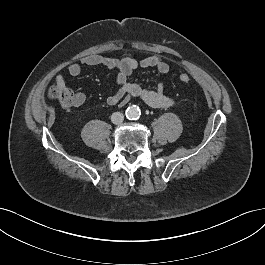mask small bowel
Listing matches in <instances>:
<instances>
[{
  "instance_id": "small-bowel-1",
  "label": "small bowel",
  "mask_w": 265,
  "mask_h": 265,
  "mask_svg": "<svg viewBox=\"0 0 265 265\" xmlns=\"http://www.w3.org/2000/svg\"><path fill=\"white\" fill-rule=\"evenodd\" d=\"M81 65L86 66H104L108 69L117 71L116 81L118 88L107 98L109 105H125L132 97L143 100L146 104L155 108H166L174 104V100L165 94L163 82H159L154 89H147L138 84L128 81L129 75L138 68H156L160 73L170 72V65L160 55H151L141 59L125 57L117 59L114 57L102 56L99 54H90L80 59V64L70 63L67 66L68 73L77 77L81 74ZM57 86L65 88V81L62 75L55 78ZM86 96L82 92H76L73 95L72 106L80 107L84 104Z\"/></svg>"
}]
</instances>
